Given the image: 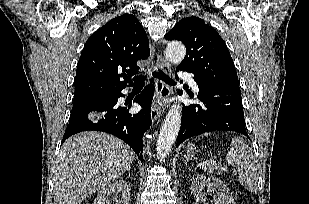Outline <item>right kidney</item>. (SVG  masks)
Wrapping results in <instances>:
<instances>
[{"label": "right kidney", "instance_id": "1", "mask_svg": "<svg viewBox=\"0 0 309 204\" xmlns=\"http://www.w3.org/2000/svg\"><path fill=\"white\" fill-rule=\"evenodd\" d=\"M130 183L119 180L112 184L107 185L97 195L93 204H111V196L114 194H120V199L116 201V204H128L130 200Z\"/></svg>", "mask_w": 309, "mask_h": 204}]
</instances>
